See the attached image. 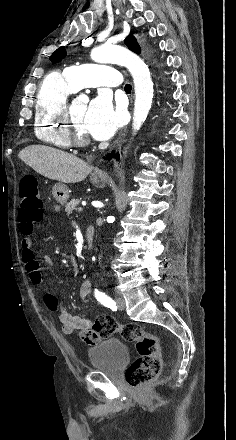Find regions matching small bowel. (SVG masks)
<instances>
[{
    "label": "small bowel",
    "mask_w": 236,
    "mask_h": 440,
    "mask_svg": "<svg viewBox=\"0 0 236 440\" xmlns=\"http://www.w3.org/2000/svg\"><path fill=\"white\" fill-rule=\"evenodd\" d=\"M22 247V260L26 265V269L29 273V277L32 283L36 286L41 287L43 285L42 274L39 268V262L37 256L32 249V241L29 237H25L21 240ZM44 260L49 262V258L45 257ZM91 291V283L89 280H85L79 290V296L82 302L87 303L89 294ZM49 297H54L50 293L44 294V303L49 308L47 304V299ZM50 309V308H49ZM57 313L59 320L61 322L62 332L66 335L73 334L74 332H79L81 339H97L99 337V332L97 330H91L92 321L91 319L81 316L71 314L66 311L62 305L59 303L57 308ZM88 344H95L98 341H86Z\"/></svg>",
    "instance_id": "c3829d8e"
}]
</instances>
